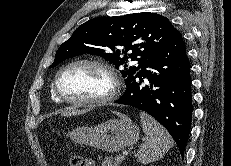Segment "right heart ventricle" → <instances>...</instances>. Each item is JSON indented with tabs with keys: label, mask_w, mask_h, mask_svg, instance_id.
Instances as JSON below:
<instances>
[{
	"label": "right heart ventricle",
	"mask_w": 231,
	"mask_h": 166,
	"mask_svg": "<svg viewBox=\"0 0 231 166\" xmlns=\"http://www.w3.org/2000/svg\"><path fill=\"white\" fill-rule=\"evenodd\" d=\"M51 97H52V99H53L55 102H60V100L58 99V97L55 95L53 89H52V91H51Z\"/></svg>",
	"instance_id": "right-heart-ventricle-1"
}]
</instances>
